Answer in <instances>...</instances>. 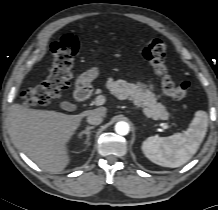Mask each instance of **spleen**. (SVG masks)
<instances>
[{"mask_svg":"<svg viewBox=\"0 0 218 210\" xmlns=\"http://www.w3.org/2000/svg\"><path fill=\"white\" fill-rule=\"evenodd\" d=\"M207 126V113L198 110L186 131L169 137H148L142 144V151L157 165L169 168L180 167L197 152L206 135Z\"/></svg>","mask_w":218,"mask_h":210,"instance_id":"1","label":"spleen"}]
</instances>
